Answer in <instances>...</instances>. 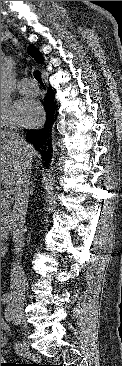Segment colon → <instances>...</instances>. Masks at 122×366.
I'll list each match as a JSON object with an SVG mask.
<instances>
[{"instance_id":"5ec220e1","label":"colon","mask_w":122,"mask_h":366,"mask_svg":"<svg viewBox=\"0 0 122 366\" xmlns=\"http://www.w3.org/2000/svg\"><path fill=\"white\" fill-rule=\"evenodd\" d=\"M4 342H5L4 337H3V335L1 334V346H3V345H4Z\"/></svg>"}]
</instances>
